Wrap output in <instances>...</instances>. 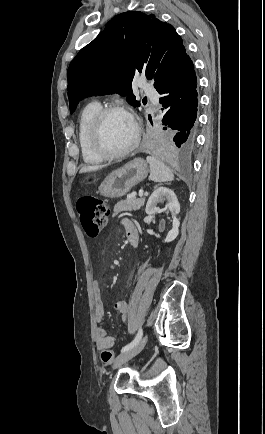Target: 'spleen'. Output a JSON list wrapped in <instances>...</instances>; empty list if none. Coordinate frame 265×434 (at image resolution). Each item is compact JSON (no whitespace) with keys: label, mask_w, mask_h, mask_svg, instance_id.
Returning a JSON list of instances; mask_svg holds the SVG:
<instances>
[{"label":"spleen","mask_w":265,"mask_h":434,"mask_svg":"<svg viewBox=\"0 0 265 434\" xmlns=\"http://www.w3.org/2000/svg\"><path fill=\"white\" fill-rule=\"evenodd\" d=\"M150 166V180L153 182H171L174 178V174L168 166H165L158 158L153 156H147L146 158Z\"/></svg>","instance_id":"obj_1"}]
</instances>
